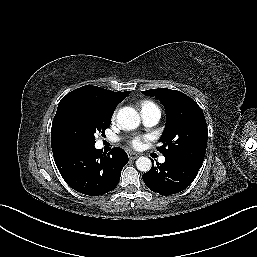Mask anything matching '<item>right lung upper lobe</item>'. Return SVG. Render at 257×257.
<instances>
[{
    "label": "right lung upper lobe",
    "instance_id": "cb5924a9",
    "mask_svg": "<svg viewBox=\"0 0 257 257\" xmlns=\"http://www.w3.org/2000/svg\"><path fill=\"white\" fill-rule=\"evenodd\" d=\"M130 93V91L125 92H113L110 90L103 89L101 87L92 86V85H86L80 88L75 89L74 91L67 94L60 102L62 103L64 100H66L69 97L73 96H79L87 99L94 100L101 104L104 108H106L110 112H114V109L117 107V105L122 102ZM58 111V109H57ZM61 125L58 122L57 114L55 115L52 123V129H51V139L56 138L61 133ZM71 147L66 146H59V147H53L52 151L57 152L61 150H66Z\"/></svg>",
    "mask_w": 257,
    "mask_h": 257
}]
</instances>
